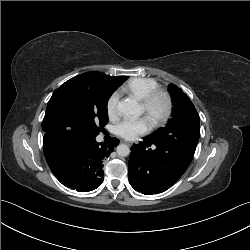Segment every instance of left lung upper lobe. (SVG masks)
Returning a JSON list of instances; mask_svg holds the SVG:
<instances>
[{
  "label": "left lung upper lobe",
  "instance_id": "left-lung-upper-lobe-1",
  "mask_svg": "<svg viewBox=\"0 0 250 250\" xmlns=\"http://www.w3.org/2000/svg\"><path fill=\"white\" fill-rule=\"evenodd\" d=\"M169 92L174 104L172 118L166 127L160 128L149 136L162 138L171 137L175 131H189L199 127V115L189 97L176 85H169Z\"/></svg>",
  "mask_w": 250,
  "mask_h": 250
}]
</instances>
